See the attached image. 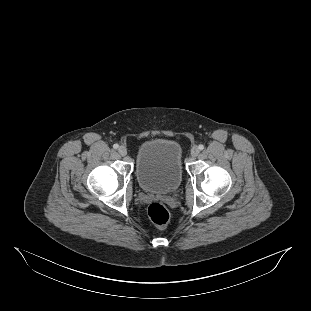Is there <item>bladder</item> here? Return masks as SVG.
I'll return each mask as SVG.
<instances>
[{
	"mask_svg": "<svg viewBox=\"0 0 311 311\" xmlns=\"http://www.w3.org/2000/svg\"><path fill=\"white\" fill-rule=\"evenodd\" d=\"M136 178L142 190L166 194L179 188L183 179L182 149L169 138L143 142L136 157Z\"/></svg>",
	"mask_w": 311,
	"mask_h": 311,
	"instance_id": "obj_1",
	"label": "bladder"
}]
</instances>
